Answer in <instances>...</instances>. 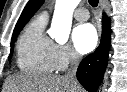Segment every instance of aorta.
<instances>
[{
    "label": "aorta",
    "mask_w": 127,
    "mask_h": 92,
    "mask_svg": "<svg viewBox=\"0 0 127 92\" xmlns=\"http://www.w3.org/2000/svg\"><path fill=\"white\" fill-rule=\"evenodd\" d=\"M80 0H56L50 36L58 43L68 41L72 25V15Z\"/></svg>",
    "instance_id": "obj_1"
}]
</instances>
